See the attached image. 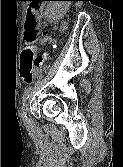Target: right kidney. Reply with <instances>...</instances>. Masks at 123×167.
Listing matches in <instances>:
<instances>
[{
	"label": "right kidney",
	"instance_id": "ca27d5eb",
	"mask_svg": "<svg viewBox=\"0 0 123 167\" xmlns=\"http://www.w3.org/2000/svg\"><path fill=\"white\" fill-rule=\"evenodd\" d=\"M70 4V1H50L47 5L45 15L50 20H57L67 12Z\"/></svg>",
	"mask_w": 123,
	"mask_h": 167
}]
</instances>
